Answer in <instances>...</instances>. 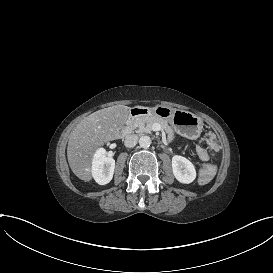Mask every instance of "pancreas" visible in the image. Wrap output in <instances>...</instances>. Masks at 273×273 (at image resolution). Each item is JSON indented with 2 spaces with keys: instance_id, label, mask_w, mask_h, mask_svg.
<instances>
[{
  "instance_id": "pancreas-1",
  "label": "pancreas",
  "mask_w": 273,
  "mask_h": 273,
  "mask_svg": "<svg viewBox=\"0 0 273 273\" xmlns=\"http://www.w3.org/2000/svg\"><path fill=\"white\" fill-rule=\"evenodd\" d=\"M154 123H158L162 130H164L169 138L174 136L173 129L168 125L167 121L157 116H141L133 121V127L136 133H151Z\"/></svg>"
}]
</instances>
